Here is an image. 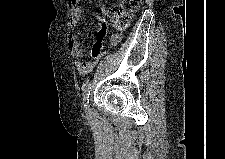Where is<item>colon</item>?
I'll return each instance as SVG.
<instances>
[{
    "mask_svg": "<svg viewBox=\"0 0 225 159\" xmlns=\"http://www.w3.org/2000/svg\"><path fill=\"white\" fill-rule=\"evenodd\" d=\"M79 0H70L76 5ZM141 0H122L120 4L109 7L105 12L106 23L113 26L116 30L126 29L130 23L131 16L138 10ZM105 27V23L101 25Z\"/></svg>",
    "mask_w": 225,
    "mask_h": 159,
    "instance_id": "colon-1",
    "label": "colon"
}]
</instances>
